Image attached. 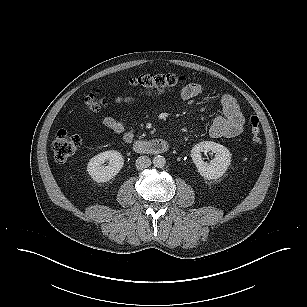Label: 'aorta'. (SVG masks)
Listing matches in <instances>:
<instances>
[{
	"label": "aorta",
	"instance_id": "aorta-1",
	"mask_svg": "<svg viewBox=\"0 0 307 307\" xmlns=\"http://www.w3.org/2000/svg\"><path fill=\"white\" fill-rule=\"evenodd\" d=\"M166 164V159L164 156L157 155L153 158V165L157 168H162Z\"/></svg>",
	"mask_w": 307,
	"mask_h": 307
}]
</instances>
